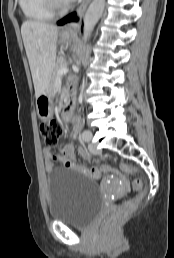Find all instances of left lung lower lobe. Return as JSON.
Segmentation results:
<instances>
[{"mask_svg": "<svg viewBox=\"0 0 174 258\" xmlns=\"http://www.w3.org/2000/svg\"><path fill=\"white\" fill-rule=\"evenodd\" d=\"M74 20H76L75 13H72V14L66 16L65 18H63L62 20L58 21L57 24L58 25H63L67 22L74 21Z\"/></svg>", "mask_w": 174, "mask_h": 258, "instance_id": "left-lung-lower-lobe-1", "label": "left lung lower lobe"}]
</instances>
